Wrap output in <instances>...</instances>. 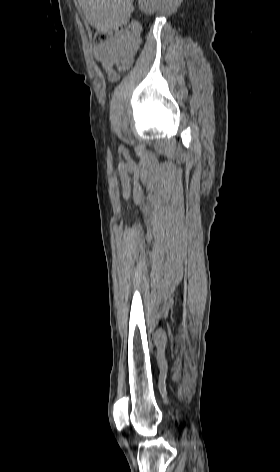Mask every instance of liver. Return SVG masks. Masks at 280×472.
Masks as SVG:
<instances>
[{"label": "liver", "mask_w": 280, "mask_h": 472, "mask_svg": "<svg viewBox=\"0 0 280 472\" xmlns=\"http://www.w3.org/2000/svg\"><path fill=\"white\" fill-rule=\"evenodd\" d=\"M78 2L86 21L104 33L126 24L134 10L133 0H78Z\"/></svg>", "instance_id": "obj_1"}]
</instances>
